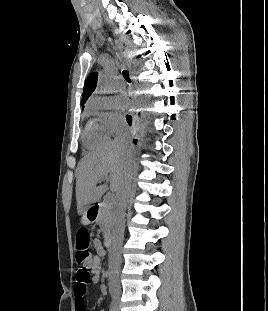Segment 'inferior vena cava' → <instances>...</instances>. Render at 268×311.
Returning <instances> with one entry per match:
<instances>
[{
	"label": "inferior vena cava",
	"mask_w": 268,
	"mask_h": 311,
	"mask_svg": "<svg viewBox=\"0 0 268 311\" xmlns=\"http://www.w3.org/2000/svg\"><path fill=\"white\" fill-rule=\"evenodd\" d=\"M118 141L123 143L127 147V152H129V154L131 155L132 147H130V142L123 137H119ZM131 172H132V161L130 158L127 167L125 181L122 185V188L116 194V208L114 211L113 228H112V250L109 255V265L111 269L116 267L118 270L121 262V255L119 250L120 247L122 246L124 238L125 210L132 189ZM116 274H118V271L116 272ZM110 284L114 285L116 288H119L118 277L116 276V278H114L111 275Z\"/></svg>",
	"instance_id": "1"
}]
</instances>
